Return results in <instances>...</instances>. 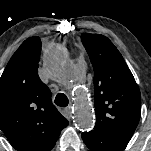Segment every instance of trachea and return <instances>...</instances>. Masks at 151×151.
Returning <instances> with one entry per match:
<instances>
[{
  "label": "trachea",
  "instance_id": "3493384b",
  "mask_svg": "<svg viewBox=\"0 0 151 151\" xmlns=\"http://www.w3.org/2000/svg\"><path fill=\"white\" fill-rule=\"evenodd\" d=\"M54 102L57 106L66 107L68 106L69 100L64 93H58Z\"/></svg>",
  "mask_w": 151,
  "mask_h": 151
}]
</instances>
